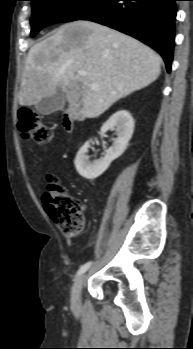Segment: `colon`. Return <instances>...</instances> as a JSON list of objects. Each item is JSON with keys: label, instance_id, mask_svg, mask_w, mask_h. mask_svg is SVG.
Wrapping results in <instances>:
<instances>
[{"label": "colon", "instance_id": "1", "mask_svg": "<svg viewBox=\"0 0 193 349\" xmlns=\"http://www.w3.org/2000/svg\"><path fill=\"white\" fill-rule=\"evenodd\" d=\"M17 126L24 138H30L39 145H47L50 141V132L42 117L29 108L19 110ZM42 200L47 213L63 234L74 236L82 231L84 216L81 202L68 195L53 175L47 177Z\"/></svg>", "mask_w": 193, "mask_h": 349}]
</instances>
